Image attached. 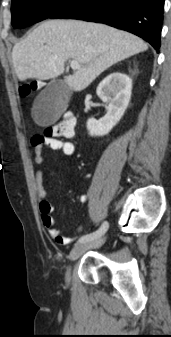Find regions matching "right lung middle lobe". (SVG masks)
I'll return each mask as SVG.
<instances>
[{
	"label": "right lung middle lobe",
	"mask_w": 171,
	"mask_h": 337,
	"mask_svg": "<svg viewBox=\"0 0 171 337\" xmlns=\"http://www.w3.org/2000/svg\"><path fill=\"white\" fill-rule=\"evenodd\" d=\"M72 0H12V26L23 28L49 18Z\"/></svg>",
	"instance_id": "right-lung-middle-lobe-1"
}]
</instances>
